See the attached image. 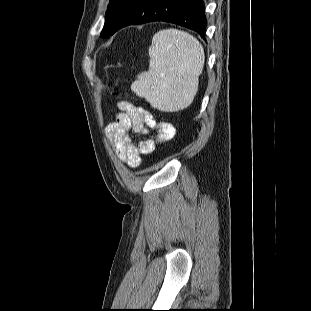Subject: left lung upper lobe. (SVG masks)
I'll use <instances>...</instances> for the list:
<instances>
[{
	"label": "left lung upper lobe",
	"mask_w": 311,
	"mask_h": 311,
	"mask_svg": "<svg viewBox=\"0 0 311 311\" xmlns=\"http://www.w3.org/2000/svg\"><path fill=\"white\" fill-rule=\"evenodd\" d=\"M128 0H110L105 16V24L101 32L102 37H109L116 25L119 13Z\"/></svg>",
	"instance_id": "obj_1"
}]
</instances>
